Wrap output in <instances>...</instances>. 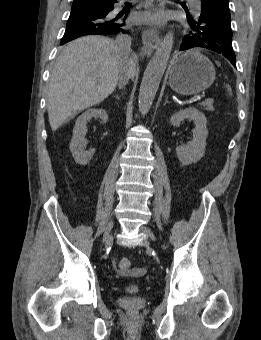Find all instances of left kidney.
<instances>
[{
	"instance_id": "5707ae66",
	"label": "left kidney",
	"mask_w": 261,
	"mask_h": 340,
	"mask_svg": "<svg viewBox=\"0 0 261 340\" xmlns=\"http://www.w3.org/2000/svg\"><path fill=\"white\" fill-rule=\"evenodd\" d=\"M184 119L193 120L196 125L193 130V139L187 145H180L176 148L179 161L184 165L198 162L205 154L206 139L208 130L207 119L203 113L194 107H190L173 114L170 124L178 127Z\"/></svg>"
}]
</instances>
